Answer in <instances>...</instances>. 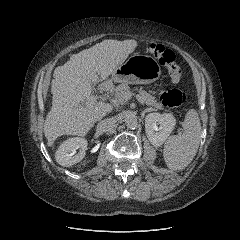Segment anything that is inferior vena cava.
<instances>
[{"instance_id":"obj_1","label":"inferior vena cava","mask_w":240,"mask_h":240,"mask_svg":"<svg viewBox=\"0 0 240 240\" xmlns=\"http://www.w3.org/2000/svg\"><path fill=\"white\" fill-rule=\"evenodd\" d=\"M116 120L114 118H106L100 121L97 125L98 133H105L111 131L115 126Z\"/></svg>"}]
</instances>
